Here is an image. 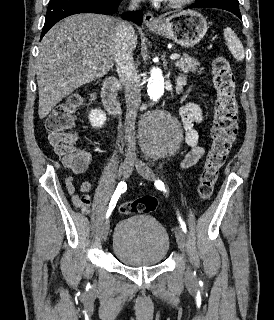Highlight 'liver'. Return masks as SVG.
<instances>
[{
	"instance_id": "liver-1",
	"label": "liver",
	"mask_w": 274,
	"mask_h": 320,
	"mask_svg": "<svg viewBox=\"0 0 274 320\" xmlns=\"http://www.w3.org/2000/svg\"><path fill=\"white\" fill-rule=\"evenodd\" d=\"M118 22L112 16L75 14L45 34L36 70L40 120L77 88L110 72L115 62L114 28Z\"/></svg>"
}]
</instances>
